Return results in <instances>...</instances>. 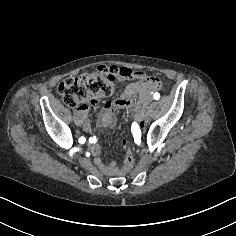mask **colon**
Instances as JSON below:
<instances>
[{"mask_svg":"<svg viewBox=\"0 0 236 236\" xmlns=\"http://www.w3.org/2000/svg\"><path fill=\"white\" fill-rule=\"evenodd\" d=\"M120 76L135 78L136 73L128 68L99 66L93 71L64 79L59 83L57 90L67 106L76 107L84 101L110 95L114 90L116 78ZM125 148L124 167L126 170H131L134 166V158L127 143Z\"/></svg>","mask_w":236,"mask_h":236,"instance_id":"colon-1","label":"colon"}]
</instances>
